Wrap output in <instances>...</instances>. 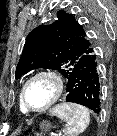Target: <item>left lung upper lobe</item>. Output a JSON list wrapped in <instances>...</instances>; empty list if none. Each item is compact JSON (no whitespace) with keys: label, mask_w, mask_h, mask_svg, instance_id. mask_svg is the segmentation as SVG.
Segmentation results:
<instances>
[{"label":"left lung upper lobe","mask_w":117,"mask_h":136,"mask_svg":"<svg viewBox=\"0 0 117 136\" xmlns=\"http://www.w3.org/2000/svg\"><path fill=\"white\" fill-rule=\"evenodd\" d=\"M58 20L32 30L16 68V79L36 68L56 69L68 78L77 61L93 50L92 41L73 14L60 10Z\"/></svg>","instance_id":"1"}]
</instances>
